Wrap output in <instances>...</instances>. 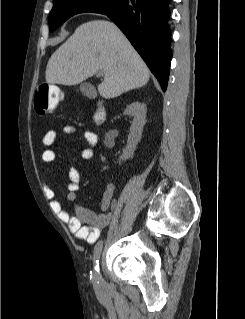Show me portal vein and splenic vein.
Listing matches in <instances>:
<instances>
[{
	"mask_svg": "<svg viewBox=\"0 0 245 319\" xmlns=\"http://www.w3.org/2000/svg\"><path fill=\"white\" fill-rule=\"evenodd\" d=\"M103 74H104V72H103V71H101V70H100V71H98V75H99V76H102Z\"/></svg>",
	"mask_w": 245,
	"mask_h": 319,
	"instance_id": "portal-vein-and-splenic-vein-1",
	"label": "portal vein and splenic vein"
}]
</instances>
